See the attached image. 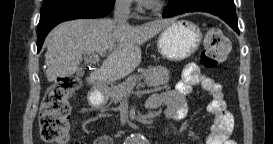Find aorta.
I'll return each instance as SVG.
<instances>
[{
  "instance_id": "1",
  "label": "aorta",
  "mask_w": 273,
  "mask_h": 144,
  "mask_svg": "<svg viewBox=\"0 0 273 144\" xmlns=\"http://www.w3.org/2000/svg\"><path fill=\"white\" fill-rule=\"evenodd\" d=\"M131 144H141L143 142V139L139 135H134L133 137H130Z\"/></svg>"
}]
</instances>
